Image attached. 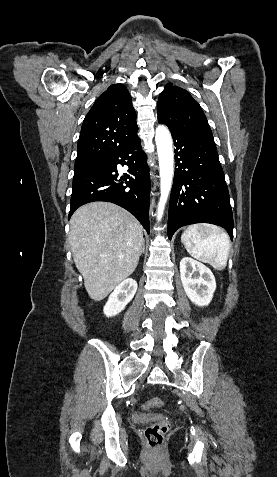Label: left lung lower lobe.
<instances>
[{
  "mask_svg": "<svg viewBox=\"0 0 277 477\" xmlns=\"http://www.w3.org/2000/svg\"><path fill=\"white\" fill-rule=\"evenodd\" d=\"M171 133L176 164L169 204V239L182 226L211 223L223 227L232 240L229 192L212 133Z\"/></svg>",
  "mask_w": 277,
  "mask_h": 477,
  "instance_id": "0a47b994",
  "label": "left lung lower lobe"
}]
</instances>
